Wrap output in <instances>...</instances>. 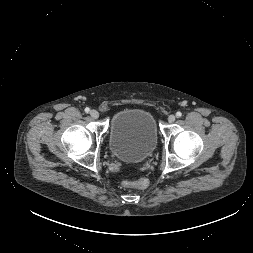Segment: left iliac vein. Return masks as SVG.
<instances>
[{"instance_id":"obj_1","label":"left iliac vein","mask_w":253,"mask_h":253,"mask_svg":"<svg viewBox=\"0 0 253 253\" xmlns=\"http://www.w3.org/2000/svg\"><path fill=\"white\" fill-rule=\"evenodd\" d=\"M175 120H176V116H175V115H170V116L168 117V122H169V123H173Z\"/></svg>"}]
</instances>
